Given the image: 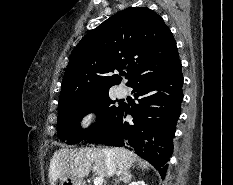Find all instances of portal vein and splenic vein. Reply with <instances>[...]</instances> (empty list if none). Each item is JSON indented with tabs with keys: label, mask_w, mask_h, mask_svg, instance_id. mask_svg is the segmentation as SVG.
I'll list each match as a JSON object with an SVG mask.
<instances>
[{
	"label": "portal vein and splenic vein",
	"mask_w": 233,
	"mask_h": 185,
	"mask_svg": "<svg viewBox=\"0 0 233 185\" xmlns=\"http://www.w3.org/2000/svg\"><path fill=\"white\" fill-rule=\"evenodd\" d=\"M104 178L102 176L96 177L93 181L94 185H102Z\"/></svg>",
	"instance_id": "18ae733b"
}]
</instances>
